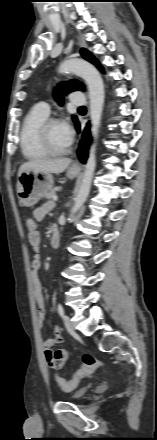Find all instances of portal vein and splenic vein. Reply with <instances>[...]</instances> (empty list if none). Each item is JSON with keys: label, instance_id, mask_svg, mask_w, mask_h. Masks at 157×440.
Returning <instances> with one entry per match:
<instances>
[{"label": "portal vein and splenic vein", "instance_id": "1", "mask_svg": "<svg viewBox=\"0 0 157 440\" xmlns=\"http://www.w3.org/2000/svg\"><path fill=\"white\" fill-rule=\"evenodd\" d=\"M58 200V197L55 195L54 197H53V201H57Z\"/></svg>", "mask_w": 157, "mask_h": 440}]
</instances>
